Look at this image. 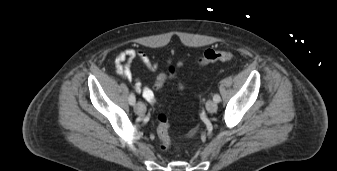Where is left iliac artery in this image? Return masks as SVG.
Here are the masks:
<instances>
[{
  "instance_id": "obj_1",
  "label": "left iliac artery",
  "mask_w": 337,
  "mask_h": 171,
  "mask_svg": "<svg viewBox=\"0 0 337 171\" xmlns=\"http://www.w3.org/2000/svg\"><path fill=\"white\" fill-rule=\"evenodd\" d=\"M213 100H214L216 103H218V102H220L221 98H220V96H219L218 94H215V95L213 96Z\"/></svg>"
}]
</instances>
